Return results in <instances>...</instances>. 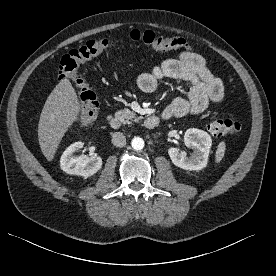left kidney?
<instances>
[{"instance_id": "1", "label": "left kidney", "mask_w": 276, "mask_h": 276, "mask_svg": "<svg viewBox=\"0 0 276 276\" xmlns=\"http://www.w3.org/2000/svg\"><path fill=\"white\" fill-rule=\"evenodd\" d=\"M184 144L194 150L192 157H187L185 152L178 148L171 147L168 154L173 164L184 170H201L208 162L209 152L212 145L210 135L200 129L190 128L185 132Z\"/></svg>"}]
</instances>
